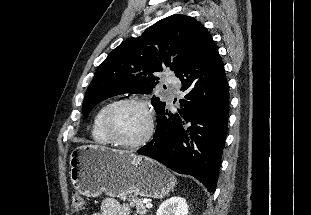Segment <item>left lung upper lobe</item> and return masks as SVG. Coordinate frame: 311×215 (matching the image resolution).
<instances>
[{
	"mask_svg": "<svg viewBox=\"0 0 311 215\" xmlns=\"http://www.w3.org/2000/svg\"><path fill=\"white\" fill-rule=\"evenodd\" d=\"M209 32L192 17L172 15L123 41L97 68L83 102V115L99 102L121 93L150 94L158 83L156 72L164 67L176 71L197 49ZM155 111L165 106L151 100Z\"/></svg>",
	"mask_w": 311,
	"mask_h": 215,
	"instance_id": "5c2ea615",
	"label": "left lung upper lobe"
}]
</instances>
